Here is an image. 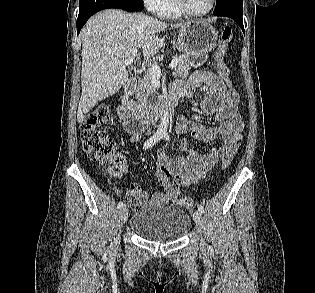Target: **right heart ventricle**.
I'll return each mask as SVG.
<instances>
[{
  "label": "right heart ventricle",
  "instance_id": "1",
  "mask_svg": "<svg viewBox=\"0 0 315 293\" xmlns=\"http://www.w3.org/2000/svg\"><path fill=\"white\" fill-rule=\"evenodd\" d=\"M158 14L163 18H181L183 13L177 8L175 0H164Z\"/></svg>",
  "mask_w": 315,
  "mask_h": 293
}]
</instances>
